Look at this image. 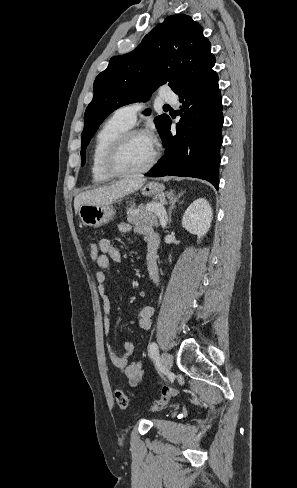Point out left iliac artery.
Masks as SVG:
<instances>
[{"label":"left iliac artery","instance_id":"44dca946","mask_svg":"<svg viewBox=\"0 0 297 488\" xmlns=\"http://www.w3.org/2000/svg\"><path fill=\"white\" fill-rule=\"evenodd\" d=\"M148 352H149V356L151 358H157L158 357V346L155 342H152L149 344Z\"/></svg>","mask_w":297,"mask_h":488}]
</instances>
